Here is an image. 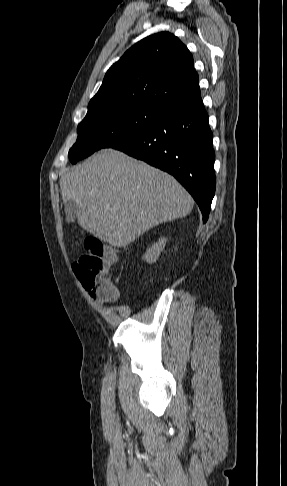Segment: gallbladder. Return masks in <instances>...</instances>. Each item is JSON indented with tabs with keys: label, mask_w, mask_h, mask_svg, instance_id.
Segmentation results:
<instances>
[{
	"label": "gallbladder",
	"mask_w": 287,
	"mask_h": 486,
	"mask_svg": "<svg viewBox=\"0 0 287 486\" xmlns=\"http://www.w3.org/2000/svg\"><path fill=\"white\" fill-rule=\"evenodd\" d=\"M75 209H76L75 202H68L65 205V213H66V222L67 223H72V222L75 221V219H76Z\"/></svg>",
	"instance_id": "bac80fb5"
}]
</instances>
